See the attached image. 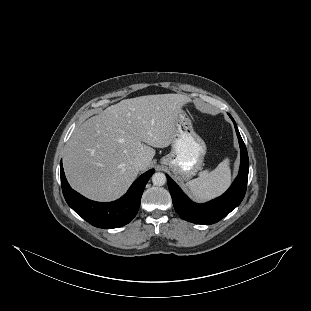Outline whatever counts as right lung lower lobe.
<instances>
[{
	"instance_id": "1",
	"label": "right lung lower lobe",
	"mask_w": 311,
	"mask_h": 311,
	"mask_svg": "<svg viewBox=\"0 0 311 311\" xmlns=\"http://www.w3.org/2000/svg\"><path fill=\"white\" fill-rule=\"evenodd\" d=\"M153 173L154 169H151L138 177L120 199L100 203L91 201L74 191L66 180L62 162L60 164L62 191L68 205L88 223L105 229L124 226L135 217L143 190Z\"/></svg>"
}]
</instances>
